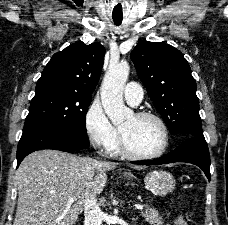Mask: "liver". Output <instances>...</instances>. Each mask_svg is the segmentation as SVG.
<instances>
[{"label": "liver", "mask_w": 228, "mask_h": 225, "mask_svg": "<svg viewBox=\"0 0 228 225\" xmlns=\"http://www.w3.org/2000/svg\"><path fill=\"white\" fill-rule=\"evenodd\" d=\"M119 163L75 157L62 151H36L16 171L19 191L13 225H74L89 195L100 193L106 183L105 171ZM95 181H93V177ZM77 197V201H69Z\"/></svg>", "instance_id": "obj_1"}]
</instances>
